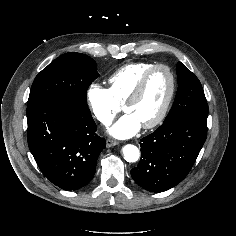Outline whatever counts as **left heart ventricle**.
Segmentation results:
<instances>
[{
    "mask_svg": "<svg viewBox=\"0 0 236 236\" xmlns=\"http://www.w3.org/2000/svg\"><path fill=\"white\" fill-rule=\"evenodd\" d=\"M170 88V78L163 69L156 70L148 79L140 98L127 106L126 112L134 114L142 125L153 121L160 113Z\"/></svg>",
    "mask_w": 236,
    "mask_h": 236,
    "instance_id": "b2bd125f",
    "label": "left heart ventricle"
}]
</instances>
